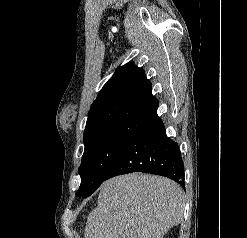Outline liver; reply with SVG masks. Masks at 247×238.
Here are the masks:
<instances>
[{
  "label": "liver",
  "mask_w": 247,
  "mask_h": 238,
  "mask_svg": "<svg viewBox=\"0 0 247 238\" xmlns=\"http://www.w3.org/2000/svg\"><path fill=\"white\" fill-rule=\"evenodd\" d=\"M185 199L174 181L133 173L104 182L88 215L85 238H163L183 220Z\"/></svg>",
  "instance_id": "liver-1"
}]
</instances>
